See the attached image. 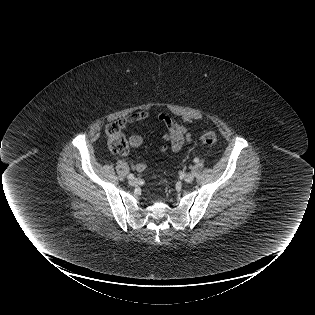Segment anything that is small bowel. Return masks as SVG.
I'll list each match as a JSON object with an SVG mask.
<instances>
[{"mask_svg":"<svg viewBox=\"0 0 315 315\" xmlns=\"http://www.w3.org/2000/svg\"><path fill=\"white\" fill-rule=\"evenodd\" d=\"M150 118H156L165 126L163 138L169 145L165 143L160 144L158 147L160 153H165L169 149L174 153H179L182 151L185 144L191 143L192 133L180 121L166 113L153 114L148 111H138L123 117L120 122L122 126H125L126 124L136 123ZM129 143L132 148L136 149L142 145L143 139L140 135H131ZM133 168L137 172H143L146 169V164L139 162L134 164Z\"/></svg>","mask_w":315,"mask_h":315,"instance_id":"c3829d8e","label":"small bowel"}]
</instances>
